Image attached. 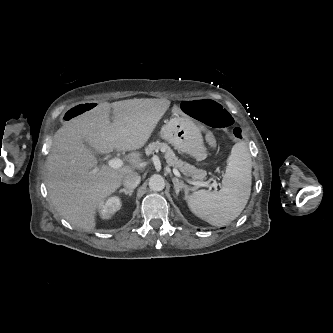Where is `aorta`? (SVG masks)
Returning <instances> with one entry per match:
<instances>
[{
  "label": "aorta",
  "instance_id": "762f6f07",
  "mask_svg": "<svg viewBox=\"0 0 333 333\" xmlns=\"http://www.w3.org/2000/svg\"><path fill=\"white\" fill-rule=\"evenodd\" d=\"M164 187H165V180L161 175L155 174L150 177L149 188L152 191H161L164 189Z\"/></svg>",
  "mask_w": 333,
  "mask_h": 333
}]
</instances>
